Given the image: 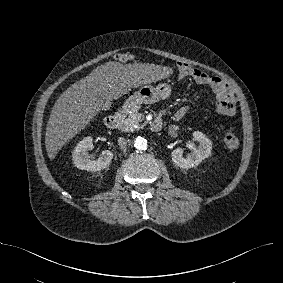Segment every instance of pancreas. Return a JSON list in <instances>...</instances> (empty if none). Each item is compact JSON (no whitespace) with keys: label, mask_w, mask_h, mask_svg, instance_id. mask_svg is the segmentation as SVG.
Listing matches in <instances>:
<instances>
[{"label":"pancreas","mask_w":283,"mask_h":283,"mask_svg":"<svg viewBox=\"0 0 283 283\" xmlns=\"http://www.w3.org/2000/svg\"><path fill=\"white\" fill-rule=\"evenodd\" d=\"M144 119V116L138 112V108L134 109L128 115V118L124 120L123 126H121V130L124 132H134L135 130L140 129L139 122Z\"/></svg>","instance_id":"1"}]
</instances>
